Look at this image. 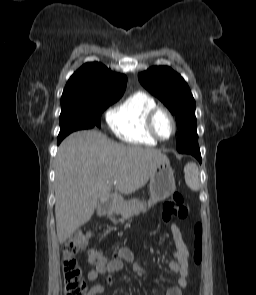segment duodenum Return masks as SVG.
Here are the masks:
<instances>
[{
  "mask_svg": "<svg viewBox=\"0 0 256 295\" xmlns=\"http://www.w3.org/2000/svg\"><path fill=\"white\" fill-rule=\"evenodd\" d=\"M115 202L113 200H108L99 205V212L102 216L111 215L114 211Z\"/></svg>",
  "mask_w": 256,
  "mask_h": 295,
  "instance_id": "obj_1",
  "label": "duodenum"
}]
</instances>
